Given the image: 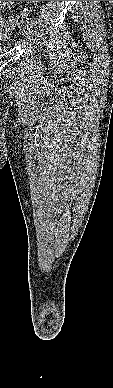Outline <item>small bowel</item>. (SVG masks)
I'll use <instances>...</instances> for the list:
<instances>
[{
	"label": "small bowel",
	"instance_id": "obj_1",
	"mask_svg": "<svg viewBox=\"0 0 113 388\" xmlns=\"http://www.w3.org/2000/svg\"><path fill=\"white\" fill-rule=\"evenodd\" d=\"M14 2H15V1H0V12H2L3 10H5L6 8L12 7L13 4H14ZM0 24H1V25L4 24L2 18H1ZM5 26H6V25H5ZM6 28H7V26H6L4 29H6ZM4 29H3V30H4Z\"/></svg>",
	"mask_w": 113,
	"mask_h": 388
}]
</instances>
